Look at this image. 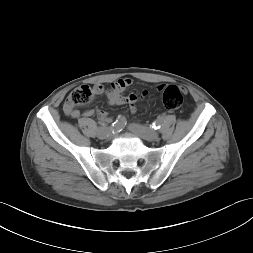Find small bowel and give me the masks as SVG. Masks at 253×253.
<instances>
[{
    "label": "small bowel",
    "instance_id": "obj_1",
    "mask_svg": "<svg viewBox=\"0 0 253 253\" xmlns=\"http://www.w3.org/2000/svg\"><path fill=\"white\" fill-rule=\"evenodd\" d=\"M132 84V80L129 78H121L115 81L111 88L108 90H105V87L102 84H96L93 87V91L97 95H101L103 93L106 94L107 100L112 105H124L128 104L130 107V110L134 112L136 110V103L138 100V97L136 94H129V95H123V91L128 88ZM161 87L159 89L161 90ZM64 112L67 116L70 118L76 119L80 116V111L75 108H70L66 104L64 106ZM94 113L93 110H87L83 113L84 116H92ZM99 118L102 121H108L109 118L107 116V113L104 111H100L98 113Z\"/></svg>",
    "mask_w": 253,
    "mask_h": 253
}]
</instances>
